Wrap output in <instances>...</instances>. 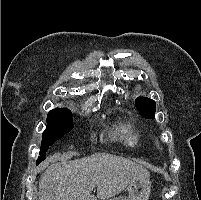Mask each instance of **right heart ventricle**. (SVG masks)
<instances>
[{
	"label": "right heart ventricle",
	"mask_w": 201,
	"mask_h": 200,
	"mask_svg": "<svg viewBox=\"0 0 201 200\" xmlns=\"http://www.w3.org/2000/svg\"><path fill=\"white\" fill-rule=\"evenodd\" d=\"M113 135L128 147H136L139 136L136 127L130 122H123L116 126Z\"/></svg>",
	"instance_id": "obj_1"
}]
</instances>
